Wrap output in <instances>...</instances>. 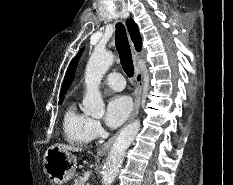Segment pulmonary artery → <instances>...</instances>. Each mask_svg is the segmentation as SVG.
Segmentation results:
<instances>
[{"label":"pulmonary artery","mask_w":233,"mask_h":185,"mask_svg":"<svg viewBox=\"0 0 233 185\" xmlns=\"http://www.w3.org/2000/svg\"><path fill=\"white\" fill-rule=\"evenodd\" d=\"M104 83L112 88L113 90L120 91L124 88L125 86V81L123 76L120 73L117 72H112L109 73L105 79Z\"/></svg>","instance_id":"e3ab8cb5"}]
</instances>
